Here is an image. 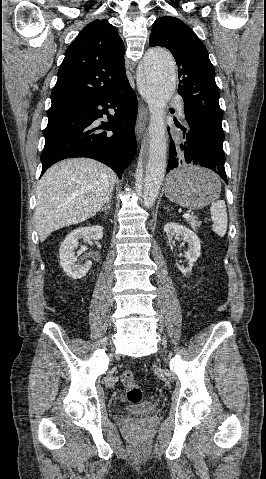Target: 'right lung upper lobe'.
Wrapping results in <instances>:
<instances>
[{"label": "right lung upper lobe", "instance_id": "right-lung-upper-lobe-1", "mask_svg": "<svg viewBox=\"0 0 266 479\" xmlns=\"http://www.w3.org/2000/svg\"><path fill=\"white\" fill-rule=\"evenodd\" d=\"M127 82L123 41L113 25L97 19L67 48L51 100L89 97L116 90Z\"/></svg>", "mask_w": 266, "mask_h": 479}]
</instances>
